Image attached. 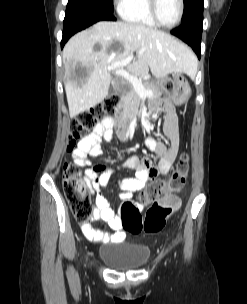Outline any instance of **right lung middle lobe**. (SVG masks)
I'll use <instances>...</instances> for the list:
<instances>
[{
  "label": "right lung middle lobe",
  "instance_id": "dd1d6c3e",
  "mask_svg": "<svg viewBox=\"0 0 247 304\" xmlns=\"http://www.w3.org/2000/svg\"><path fill=\"white\" fill-rule=\"evenodd\" d=\"M68 6L98 9L107 13H113V0H69Z\"/></svg>",
  "mask_w": 247,
  "mask_h": 304
}]
</instances>
